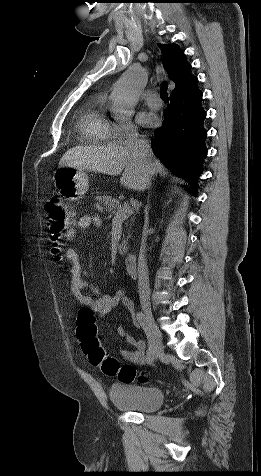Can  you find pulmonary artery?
Wrapping results in <instances>:
<instances>
[{"mask_svg":"<svg viewBox=\"0 0 261 476\" xmlns=\"http://www.w3.org/2000/svg\"><path fill=\"white\" fill-rule=\"evenodd\" d=\"M147 105L152 109H159L161 107V102L156 93H151L146 97Z\"/></svg>","mask_w":261,"mask_h":476,"instance_id":"obj_1","label":"pulmonary artery"}]
</instances>
